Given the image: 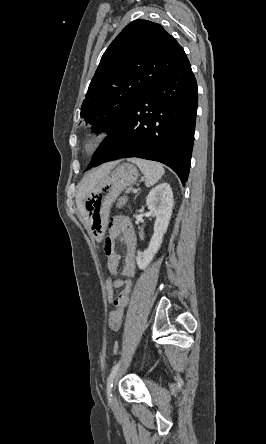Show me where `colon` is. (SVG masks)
I'll list each match as a JSON object with an SVG mask.
<instances>
[{"label":"colon","instance_id":"obj_1","mask_svg":"<svg viewBox=\"0 0 266 444\" xmlns=\"http://www.w3.org/2000/svg\"><path fill=\"white\" fill-rule=\"evenodd\" d=\"M124 200H125V198L122 197L120 199L119 203L120 204L123 203ZM116 289L117 288L115 286V278L108 277L106 279V282H105V293H106V298H107L108 302L112 303V302L115 301L116 298H115L114 294H115V290ZM119 350H120V346H119L118 342H115L113 344V352H114V354H117L119 352Z\"/></svg>","mask_w":266,"mask_h":444}]
</instances>
